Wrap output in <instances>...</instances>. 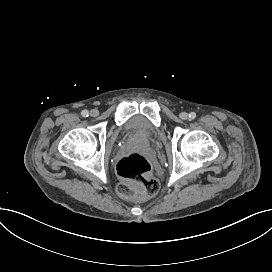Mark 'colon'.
Segmentation results:
<instances>
[{"mask_svg":"<svg viewBox=\"0 0 272 272\" xmlns=\"http://www.w3.org/2000/svg\"><path fill=\"white\" fill-rule=\"evenodd\" d=\"M117 174L125 180L117 187L125 197L144 199L154 196L160 189L157 178L151 175V164L140 153L122 157L116 165Z\"/></svg>","mask_w":272,"mask_h":272,"instance_id":"1","label":"colon"}]
</instances>
